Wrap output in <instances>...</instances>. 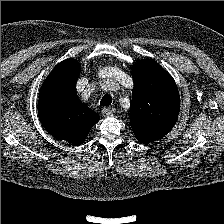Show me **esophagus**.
Returning <instances> with one entry per match:
<instances>
[{
    "mask_svg": "<svg viewBox=\"0 0 224 224\" xmlns=\"http://www.w3.org/2000/svg\"><path fill=\"white\" fill-rule=\"evenodd\" d=\"M114 111H115L114 108H112V107H107V108H104V109L102 110V115H103L104 117H110V116L113 115Z\"/></svg>",
    "mask_w": 224,
    "mask_h": 224,
    "instance_id": "1",
    "label": "esophagus"
}]
</instances>
